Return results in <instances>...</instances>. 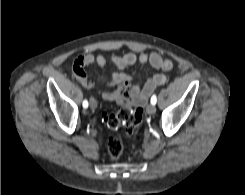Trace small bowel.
Returning a JSON list of instances; mask_svg holds the SVG:
<instances>
[{
    "instance_id": "obj_1",
    "label": "small bowel",
    "mask_w": 245,
    "mask_h": 195,
    "mask_svg": "<svg viewBox=\"0 0 245 195\" xmlns=\"http://www.w3.org/2000/svg\"><path fill=\"white\" fill-rule=\"evenodd\" d=\"M108 60L118 69V71L109 76L108 81V85L116 86V89L112 92H104L102 97L106 100L115 101L120 105L133 104L135 106H143L155 88L166 82V76L161 72H157L146 81L143 87H140L133 81V77L130 74L122 71L123 69L137 63L141 65L150 64L153 68L160 71L173 69V62L161 56L158 52H145L138 56L134 53H127L124 55H112L109 58L102 53L94 55L87 52L75 60L73 70L84 87L92 88L94 82L88 78L84 67L91 64L103 67Z\"/></svg>"
}]
</instances>
